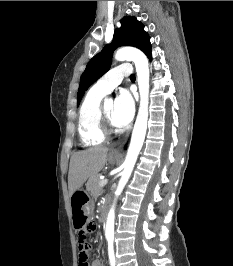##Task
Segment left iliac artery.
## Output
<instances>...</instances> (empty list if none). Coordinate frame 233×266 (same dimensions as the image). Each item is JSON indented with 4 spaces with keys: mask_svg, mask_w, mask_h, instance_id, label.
Instances as JSON below:
<instances>
[{
    "mask_svg": "<svg viewBox=\"0 0 233 266\" xmlns=\"http://www.w3.org/2000/svg\"><path fill=\"white\" fill-rule=\"evenodd\" d=\"M108 255L110 260V265L115 266V256H114V250H113V238H108Z\"/></svg>",
    "mask_w": 233,
    "mask_h": 266,
    "instance_id": "1",
    "label": "left iliac artery"
}]
</instances>
